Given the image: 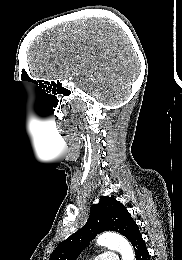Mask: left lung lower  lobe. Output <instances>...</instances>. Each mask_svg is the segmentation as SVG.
Returning <instances> with one entry per match:
<instances>
[{"mask_svg":"<svg viewBox=\"0 0 182 260\" xmlns=\"http://www.w3.org/2000/svg\"><path fill=\"white\" fill-rule=\"evenodd\" d=\"M132 246L134 247L136 260H150L148 250L146 248L145 242L142 239L141 233L138 226H136L127 238Z\"/></svg>","mask_w":182,"mask_h":260,"instance_id":"left-lung-lower-lobe-1","label":"left lung lower lobe"}]
</instances>
